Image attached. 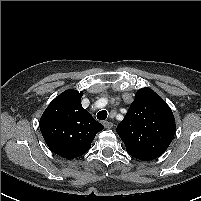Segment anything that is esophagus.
<instances>
[{
	"mask_svg": "<svg viewBox=\"0 0 201 201\" xmlns=\"http://www.w3.org/2000/svg\"><path fill=\"white\" fill-rule=\"evenodd\" d=\"M103 125H104V127H105L106 129H110V128L113 127V123L110 122V121H104V122H103Z\"/></svg>",
	"mask_w": 201,
	"mask_h": 201,
	"instance_id": "34e87169",
	"label": "esophagus"
}]
</instances>
